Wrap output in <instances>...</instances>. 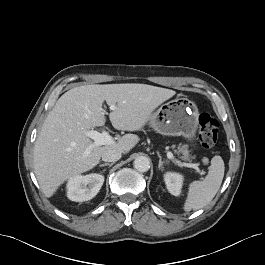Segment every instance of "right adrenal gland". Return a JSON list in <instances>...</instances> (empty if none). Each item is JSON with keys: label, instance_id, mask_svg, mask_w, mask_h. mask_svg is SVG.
<instances>
[{"label": "right adrenal gland", "instance_id": "1", "mask_svg": "<svg viewBox=\"0 0 265 265\" xmlns=\"http://www.w3.org/2000/svg\"><path fill=\"white\" fill-rule=\"evenodd\" d=\"M113 165V163H103V164H100L99 166H109L111 167Z\"/></svg>", "mask_w": 265, "mask_h": 265}]
</instances>
